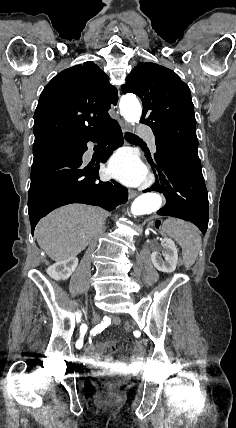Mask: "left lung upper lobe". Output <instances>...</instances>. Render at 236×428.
<instances>
[{
  "mask_svg": "<svg viewBox=\"0 0 236 428\" xmlns=\"http://www.w3.org/2000/svg\"><path fill=\"white\" fill-rule=\"evenodd\" d=\"M143 104L141 122L150 126L159 142L198 157L194 106L189 87L172 70L155 63H138L122 85ZM157 145V153L166 149Z\"/></svg>",
  "mask_w": 236,
  "mask_h": 428,
  "instance_id": "left-lung-upper-lobe-1",
  "label": "left lung upper lobe"
}]
</instances>
